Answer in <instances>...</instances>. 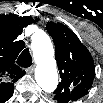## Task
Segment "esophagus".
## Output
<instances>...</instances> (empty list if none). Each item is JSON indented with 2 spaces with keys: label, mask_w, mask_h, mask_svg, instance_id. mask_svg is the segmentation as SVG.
I'll return each instance as SVG.
<instances>
[{
  "label": "esophagus",
  "mask_w": 103,
  "mask_h": 103,
  "mask_svg": "<svg viewBox=\"0 0 103 103\" xmlns=\"http://www.w3.org/2000/svg\"><path fill=\"white\" fill-rule=\"evenodd\" d=\"M34 69H35V65H32L27 69V71L29 74H32L34 72Z\"/></svg>",
  "instance_id": "esophagus-1"
}]
</instances>
